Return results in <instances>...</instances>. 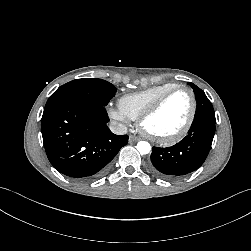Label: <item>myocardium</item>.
I'll list each match as a JSON object with an SVG mask.
<instances>
[{
    "label": "myocardium",
    "instance_id": "obj_1",
    "mask_svg": "<svg viewBox=\"0 0 251 251\" xmlns=\"http://www.w3.org/2000/svg\"><path fill=\"white\" fill-rule=\"evenodd\" d=\"M185 90L189 93L191 97V111L189 114V117L185 124L182 126L180 130H178L176 133L166 136V137H157L148 132L145 127L144 123L147 119L152 117L154 114L158 112V110L162 107V105L165 103V101L175 92ZM197 113V99L194 91L185 85H176L173 88L169 89L165 93H163L150 107H148L137 119V125L140 130V132L148 139L157 142L159 144H172L179 140H181L190 130L195 117Z\"/></svg>",
    "mask_w": 251,
    "mask_h": 251
}]
</instances>
